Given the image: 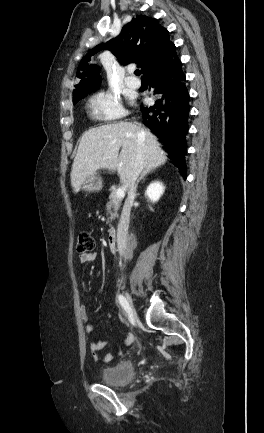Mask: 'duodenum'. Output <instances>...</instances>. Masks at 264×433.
<instances>
[{
	"label": "duodenum",
	"mask_w": 264,
	"mask_h": 433,
	"mask_svg": "<svg viewBox=\"0 0 264 433\" xmlns=\"http://www.w3.org/2000/svg\"><path fill=\"white\" fill-rule=\"evenodd\" d=\"M117 236L116 229H110L107 236V242L111 250H117Z\"/></svg>",
	"instance_id": "obj_1"
}]
</instances>
